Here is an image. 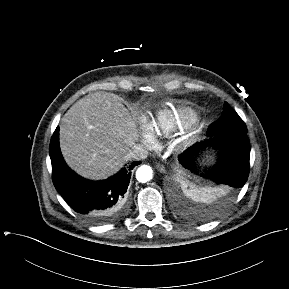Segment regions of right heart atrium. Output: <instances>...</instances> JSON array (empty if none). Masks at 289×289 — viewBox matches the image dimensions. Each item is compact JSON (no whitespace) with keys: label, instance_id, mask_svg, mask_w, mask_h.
<instances>
[{"label":"right heart atrium","instance_id":"d8ad5b80","mask_svg":"<svg viewBox=\"0 0 289 289\" xmlns=\"http://www.w3.org/2000/svg\"><path fill=\"white\" fill-rule=\"evenodd\" d=\"M139 138L144 147L153 149L157 146V140L150 129V125L142 119L140 121Z\"/></svg>","mask_w":289,"mask_h":289}]
</instances>
